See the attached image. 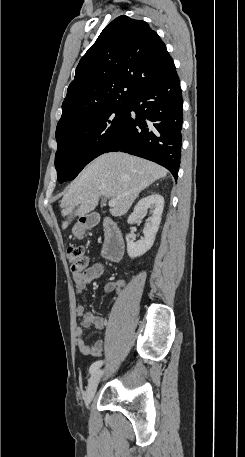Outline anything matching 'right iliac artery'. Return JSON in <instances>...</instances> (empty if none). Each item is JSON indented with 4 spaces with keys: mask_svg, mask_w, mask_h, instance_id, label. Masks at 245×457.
<instances>
[{
    "mask_svg": "<svg viewBox=\"0 0 245 457\" xmlns=\"http://www.w3.org/2000/svg\"><path fill=\"white\" fill-rule=\"evenodd\" d=\"M103 364V361L102 360H99V361H96L94 362L91 366H90V369H89V372L91 374H93L96 370H98Z\"/></svg>",
    "mask_w": 245,
    "mask_h": 457,
    "instance_id": "1",
    "label": "right iliac artery"
}]
</instances>
